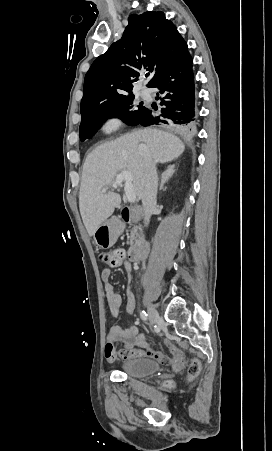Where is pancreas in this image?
<instances>
[{"label": "pancreas", "mask_w": 272, "mask_h": 451, "mask_svg": "<svg viewBox=\"0 0 272 451\" xmlns=\"http://www.w3.org/2000/svg\"><path fill=\"white\" fill-rule=\"evenodd\" d=\"M118 231L119 233H123L124 231V224H122V222H119ZM141 233L142 229L140 226H134L130 229V245H137V243H140Z\"/></svg>", "instance_id": "1"}]
</instances>
